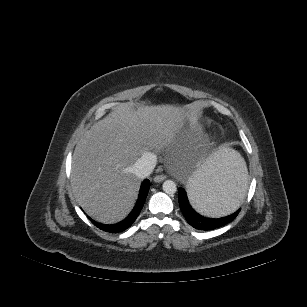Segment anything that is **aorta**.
I'll list each match as a JSON object with an SVG mask.
<instances>
[{"mask_svg":"<svg viewBox=\"0 0 307 307\" xmlns=\"http://www.w3.org/2000/svg\"><path fill=\"white\" fill-rule=\"evenodd\" d=\"M163 191H164L166 194H169V195H172V194L176 193V191H177V186H176L175 182L172 181V180H166V181L163 183Z\"/></svg>","mask_w":307,"mask_h":307,"instance_id":"1","label":"aorta"}]
</instances>
